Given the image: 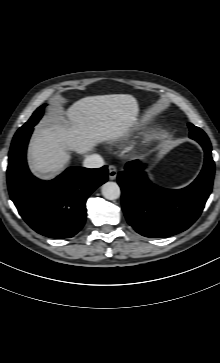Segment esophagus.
<instances>
[{
    "mask_svg": "<svg viewBox=\"0 0 220 363\" xmlns=\"http://www.w3.org/2000/svg\"><path fill=\"white\" fill-rule=\"evenodd\" d=\"M108 170H109V173H108L109 179L110 180H115L116 177H117V169H116V167L113 166V165H110L109 168H108Z\"/></svg>",
    "mask_w": 220,
    "mask_h": 363,
    "instance_id": "1",
    "label": "esophagus"
}]
</instances>
